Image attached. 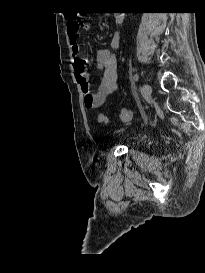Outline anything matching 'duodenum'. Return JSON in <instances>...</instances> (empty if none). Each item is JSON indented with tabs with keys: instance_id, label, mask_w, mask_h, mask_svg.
I'll return each instance as SVG.
<instances>
[{
	"instance_id": "1",
	"label": "duodenum",
	"mask_w": 205,
	"mask_h": 273,
	"mask_svg": "<svg viewBox=\"0 0 205 273\" xmlns=\"http://www.w3.org/2000/svg\"><path fill=\"white\" fill-rule=\"evenodd\" d=\"M115 21H116V23H120V17L117 16V17L115 18Z\"/></svg>"
}]
</instances>
